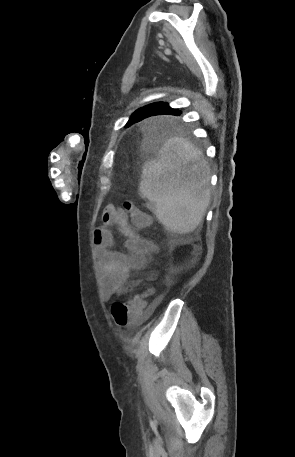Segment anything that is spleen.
Masks as SVG:
<instances>
[{"mask_svg":"<svg viewBox=\"0 0 295 457\" xmlns=\"http://www.w3.org/2000/svg\"><path fill=\"white\" fill-rule=\"evenodd\" d=\"M139 191L147 207L171 232L194 231L210 203L209 177L201 153L187 140L171 138L144 164Z\"/></svg>","mask_w":295,"mask_h":457,"instance_id":"spleen-1","label":"spleen"}]
</instances>
